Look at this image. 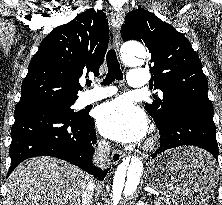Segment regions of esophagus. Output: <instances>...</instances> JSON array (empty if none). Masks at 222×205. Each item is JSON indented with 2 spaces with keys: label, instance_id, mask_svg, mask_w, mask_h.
Listing matches in <instances>:
<instances>
[{
  "label": "esophagus",
  "instance_id": "34e87169",
  "mask_svg": "<svg viewBox=\"0 0 222 205\" xmlns=\"http://www.w3.org/2000/svg\"><path fill=\"white\" fill-rule=\"evenodd\" d=\"M122 13L120 11H114L111 13V23H112V30H113V42L114 47L118 51L120 48L121 38H120V27L122 24ZM124 156L122 151L114 150L112 152V160L114 163H118L119 160Z\"/></svg>",
  "mask_w": 222,
  "mask_h": 205
}]
</instances>
